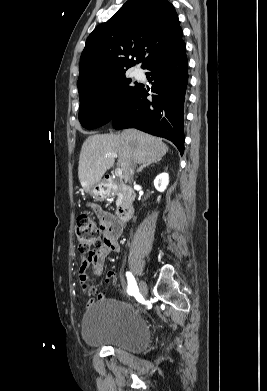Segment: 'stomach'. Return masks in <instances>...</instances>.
I'll list each match as a JSON object with an SVG mask.
<instances>
[{
	"label": "stomach",
	"mask_w": 267,
	"mask_h": 391,
	"mask_svg": "<svg viewBox=\"0 0 267 391\" xmlns=\"http://www.w3.org/2000/svg\"><path fill=\"white\" fill-rule=\"evenodd\" d=\"M89 193L94 199L103 200L110 195L111 187L107 182L100 181L91 187Z\"/></svg>",
	"instance_id": "0dacf381"
}]
</instances>
